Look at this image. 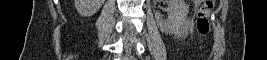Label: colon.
<instances>
[{"mask_svg": "<svg viewBox=\"0 0 267 60\" xmlns=\"http://www.w3.org/2000/svg\"><path fill=\"white\" fill-rule=\"evenodd\" d=\"M197 9L196 29L199 35L206 36L210 32V14L213 10V1L202 0Z\"/></svg>", "mask_w": 267, "mask_h": 60, "instance_id": "obj_1", "label": "colon"}]
</instances>
